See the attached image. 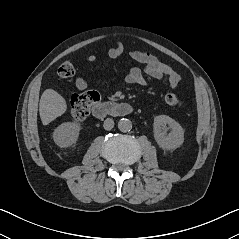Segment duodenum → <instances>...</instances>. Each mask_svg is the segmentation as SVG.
<instances>
[{
	"label": "duodenum",
	"mask_w": 239,
	"mask_h": 239,
	"mask_svg": "<svg viewBox=\"0 0 239 239\" xmlns=\"http://www.w3.org/2000/svg\"><path fill=\"white\" fill-rule=\"evenodd\" d=\"M134 111V107L129 103H117V102H108V103H96L92 107L93 115L102 119L107 115L122 117L130 115Z\"/></svg>",
	"instance_id": "duodenum-1"
}]
</instances>
